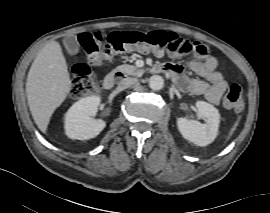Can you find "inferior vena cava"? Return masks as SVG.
<instances>
[{
  "label": "inferior vena cava",
  "instance_id": "inferior-vena-cava-1",
  "mask_svg": "<svg viewBox=\"0 0 270 213\" xmlns=\"http://www.w3.org/2000/svg\"><path fill=\"white\" fill-rule=\"evenodd\" d=\"M138 83V79L137 78H132V77H127V78H123L119 83H118V87L121 90H124L132 85H135Z\"/></svg>",
  "mask_w": 270,
  "mask_h": 213
}]
</instances>
